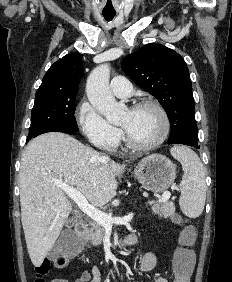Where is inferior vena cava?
Here are the masks:
<instances>
[{
    "label": "inferior vena cava",
    "mask_w": 232,
    "mask_h": 282,
    "mask_svg": "<svg viewBox=\"0 0 232 282\" xmlns=\"http://www.w3.org/2000/svg\"><path fill=\"white\" fill-rule=\"evenodd\" d=\"M103 159H105V160H106V159H108V157L104 156V157H103Z\"/></svg>",
    "instance_id": "inferior-vena-cava-1"
}]
</instances>
